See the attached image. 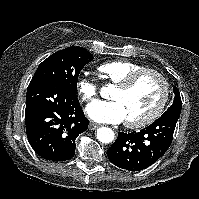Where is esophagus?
Instances as JSON below:
<instances>
[{"mask_svg":"<svg viewBox=\"0 0 199 199\" xmlns=\"http://www.w3.org/2000/svg\"><path fill=\"white\" fill-rule=\"evenodd\" d=\"M99 127V125H97V124H95V123H90L89 124V129L90 130H95V129H97Z\"/></svg>","mask_w":199,"mask_h":199,"instance_id":"esophagus-1","label":"esophagus"}]
</instances>
